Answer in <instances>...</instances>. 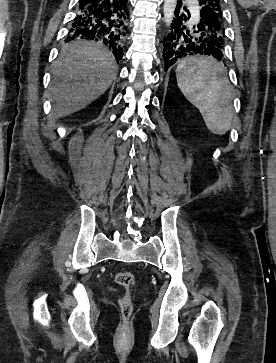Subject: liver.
I'll return each mask as SVG.
<instances>
[{
	"label": "liver",
	"instance_id": "1",
	"mask_svg": "<svg viewBox=\"0 0 276 363\" xmlns=\"http://www.w3.org/2000/svg\"><path fill=\"white\" fill-rule=\"evenodd\" d=\"M52 74L53 115L63 117L84 108L109 88L116 63L101 44L78 40L62 48Z\"/></svg>",
	"mask_w": 276,
	"mask_h": 363
}]
</instances>
